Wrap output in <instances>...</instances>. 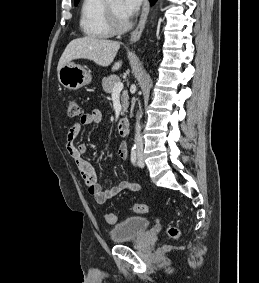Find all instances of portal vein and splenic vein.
I'll list each match as a JSON object with an SVG mask.
<instances>
[{
    "instance_id": "portal-vein-and-splenic-vein-1",
    "label": "portal vein and splenic vein",
    "mask_w": 259,
    "mask_h": 283,
    "mask_svg": "<svg viewBox=\"0 0 259 283\" xmlns=\"http://www.w3.org/2000/svg\"><path fill=\"white\" fill-rule=\"evenodd\" d=\"M122 89H123V83L118 82V83L115 84L112 93H113V94H114V93H120V92L122 91Z\"/></svg>"
}]
</instances>
